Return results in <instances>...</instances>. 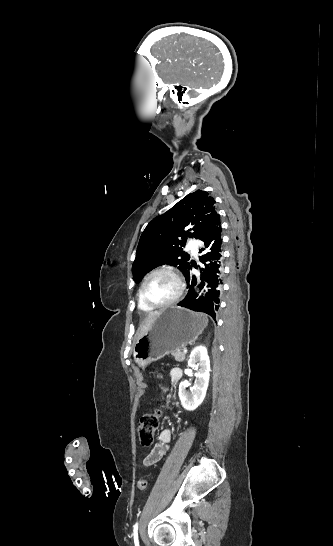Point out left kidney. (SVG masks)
I'll use <instances>...</instances> for the list:
<instances>
[{
    "label": "left kidney",
    "mask_w": 333,
    "mask_h": 546,
    "mask_svg": "<svg viewBox=\"0 0 333 546\" xmlns=\"http://www.w3.org/2000/svg\"><path fill=\"white\" fill-rule=\"evenodd\" d=\"M188 366L198 370L196 380L191 393L186 392L188 381L179 385V398L184 409L195 410L204 400L209 383L210 359L205 346H197L191 352Z\"/></svg>",
    "instance_id": "obj_1"
}]
</instances>
